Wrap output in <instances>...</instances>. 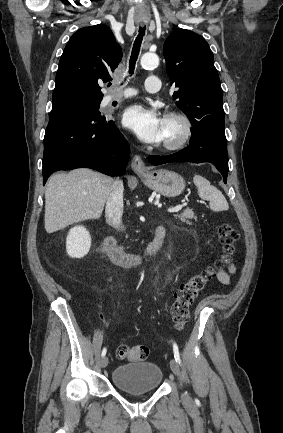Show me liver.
I'll return each instance as SVG.
<instances>
[{
	"instance_id": "liver-1",
	"label": "liver",
	"mask_w": 283,
	"mask_h": 433,
	"mask_svg": "<svg viewBox=\"0 0 283 433\" xmlns=\"http://www.w3.org/2000/svg\"><path fill=\"white\" fill-rule=\"evenodd\" d=\"M113 178L90 168L53 174L45 190V229L54 233L68 225L100 219Z\"/></svg>"
}]
</instances>
